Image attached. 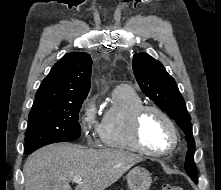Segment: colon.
Returning a JSON list of instances; mask_svg holds the SVG:
<instances>
[{"label": "colon", "mask_w": 221, "mask_h": 190, "mask_svg": "<svg viewBox=\"0 0 221 190\" xmlns=\"http://www.w3.org/2000/svg\"><path fill=\"white\" fill-rule=\"evenodd\" d=\"M162 190H183V189L178 185L164 184Z\"/></svg>", "instance_id": "5ec220e1"}]
</instances>
